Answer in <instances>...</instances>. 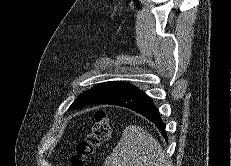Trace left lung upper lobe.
Returning a JSON list of instances; mask_svg holds the SVG:
<instances>
[{
    "instance_id": "1",
    "label": "left lung upper lobe",
    "mask_w": 231,
    "mask_h": 166,
    "mask_svg": "<svg viewBox=\"0 0 231 166\" xmlns=\"http://www.w3.org/2000/svg\"><path fill=\"white\" fill-rule=\"evenodd\" d=\"M122 81H110L106 83H101L90 90L82 93L70 106V110H75L84 106L91 104L94 100L100 96L114 90L118 86L122 85Z\"/></svg>"
}]
</instances>
